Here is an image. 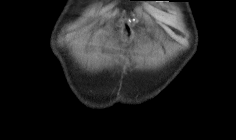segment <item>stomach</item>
Wrapping results in <instances>:
<instances>
[{
    "mask_svg": "<svg viewBox=\"0 0 236 140\" xmlns=\"http://www.w3.org/2000/svg\"><path fill=\"white\" fill-rule=\"evenodd\" d=\"M126 31H127V34H128V35H131V34H132V31H131L130 29H127Z\"/></svg>",
    "mask_w": 236,
    "mask_h": 140,
    "instance_id": "stomach-1",
    "label": "stomach"
}]
</instances>
